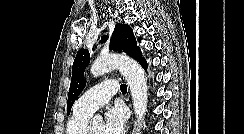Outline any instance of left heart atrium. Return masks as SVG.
I'll use <instances>...</instances> for the list:
<instances>
[{
    "instance_id": "1",
    "label": "left heart atrium",
    "mask_w": 244,
    "mask_h": 134,
    "mask_svg": "<svg viewBox=\"0 0 244 134\" xmlns=\"http://www.w3.org/2000/svg\"><path fill=\"white\" fill-rule=\"evenodd\" d=\"M126 120L127 115L122 107L109 109L105 114L103 134H124Z\"/></svg>"
}]
</instances>
